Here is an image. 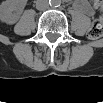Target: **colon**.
<instances>
[{
  "label": "colon",
  "instance_id": "5ec220e1",
  "mask_svg": "<svg viewBox=\"0 0 103 103\" xmlns=\"http://www.w3.org/2000/svg\"><path fill=\"white\" fill-rule=\"evenodd\" d=\"M96 9L102 10L103 4L101 1H96L94 3ZM103 34V17L100 16L96 20H94L89 28L88 31V38L91 40L99 39Z\"/></svg>",
  "mask_w": 103,
  "mask_h": 103
}]
</instances>
